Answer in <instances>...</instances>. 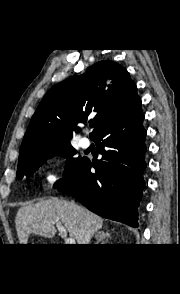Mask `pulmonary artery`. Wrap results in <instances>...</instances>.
Masks as SVG:
<instances>
[{"mask_svg": "<svg viewBox=\"0 0 180 294\" xmlns=\"http://www.w3.org/2000/svg\"><path fill=\"white\" fill-rule=\"evenodd\" d=\"M80 144L82 147L86 148L88 147L90 144H91V141L89 138L87 137H83L81 140H80Z\"/></svg>", "mask_w": 180, "mask_h": 294, "instance_id": "obj_1", "label": "pulmonary artery"}]
</instances>
